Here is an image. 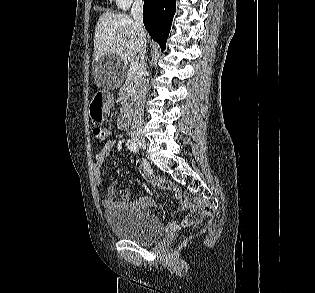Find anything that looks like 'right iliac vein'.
<instances>
[{
	"label": "right iliac vein",
	"mask_w": 315,
	"mask_h": 293,
	"mask_svg": "<svg viewBox=\"0 0 315 293\" xmlns=\"http://www.w3.org/2000/svg\"><path fill=\"white\" fill-rule=\"evenodd\" d=\"M133 140L138 144V146H139L141 149H143V150L146 149V142H145V140H144L143 137H141V136H134V137H133Z\"/></svg>",
	"instance_id": "obj_1"
}]
</instances>
